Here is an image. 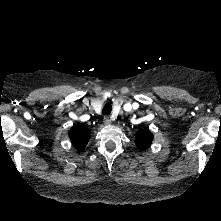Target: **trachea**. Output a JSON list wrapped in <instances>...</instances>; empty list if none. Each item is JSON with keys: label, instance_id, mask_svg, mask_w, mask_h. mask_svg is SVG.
<instances>
[{"label": "trachea", "instance_id": "trachea-1", "mask_svg": "<svg viewBox=\"0 0 221 221\" xmlns=\"http://www.w3.org/2000/svg\"><path fill=\"white\" fill-rule=\"evenodd\" d=\"M112 111V105L110 103H106L102 109L103 115H109Z\"/></svg>", "mask_w": 221, "mask_h": 221}]
</instances>
